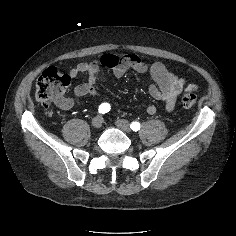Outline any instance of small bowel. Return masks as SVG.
I'll return each instance as SVG.
<instances>
[{
  "mask_svg": "<svg viewBox=\"0 0 236 236\" xmlns=\"http://www.w3.org/2000/svg\"><path fill=\"white\" fill-rule=\"evenodd\" d=\"M100 65L111 69L115 78L122 77L129 70H134L139 74H149L153 80V83L149 86V93L154 99L163 103L167 111L174 109L176 100L182 92H193L198 89L196 84L187 83L185 79L170 72L161 62L149 64L136 54H126L120 57L104 55L99 60L82 62L71 69L69 75L73 79L81 75L87 76L86 83L77 85L74 88L76 96H99L96 83ZM56 104L62 109H70L73 106V100L63 98ZM146 111L148 114H154L157 108L155 105H149Z\"/></svg>",
  "mask_w": 236,
  "mask_h": 236,
  "instance_id": "small-bowel-1",
  "label": "small bowel"
}]
</instances>
